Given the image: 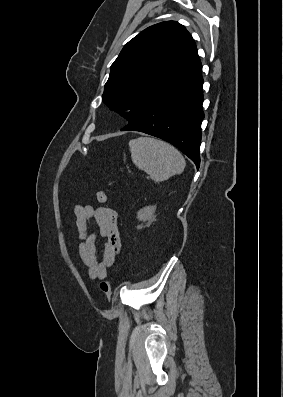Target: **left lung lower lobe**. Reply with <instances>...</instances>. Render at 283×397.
Wrapping results in <instances>:
<instances>
[{"instance_id":"1","label":"left lung lower lobe","mask_w":283,"mask_h":397,"mask_svg":"<svg viewBox=\"0 0 283 397\" xmlns=\"http://www.w3.org/2000/svg\"><path fill=\"white\" fill-rule=\"evenodd\" d=\"M202 69L144 110L122 131H140L161 138L200 165L202 108Z\"/></svg>"}]
</instances>
